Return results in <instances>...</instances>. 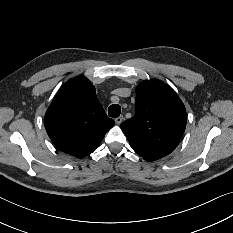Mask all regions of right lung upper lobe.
I'll return each mask as SVG.
<instances>
[{
  "mask_svg": "<svg viewBox=\"0 0 233 233\" xmlns=\"http://www.w3.org/2000/svg\"><path fill=\"white\" fill-rule=\"evenodd\" d=\"M113 125L85 77L64 84L45 115V129L54 145L77 158L95 151Z\"/></svg>",
  "mask_w": 233,
  "mask_h": 233,
  "instance_id": "cb5924a9",
  "label": "right lung upper lobe"
}]
</instances>
